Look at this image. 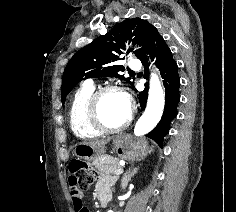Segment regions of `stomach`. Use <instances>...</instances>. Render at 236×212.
Here are the masks:
<instances>
[{"label":"stomach","mask_w":236,"mask_h":212,"mask_svg":"<svg viewBox=\"0 0 236 212\" xmlns=\"http://www.w3.org/2000/svg\"><path fill=\"white\" fill-rule=\"evenodd\" d=\"M112 144L115 152L122 158H141L148 151L145 139L133 140L129 135L114 136ZM104 154V147L94 148L84 143L76 145L73 151V155L88 162L100 159Z\"/></svg>","instance_id":"0dacf381"}]
</instances>
